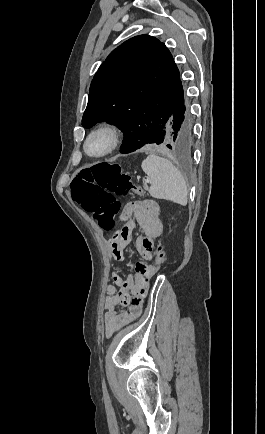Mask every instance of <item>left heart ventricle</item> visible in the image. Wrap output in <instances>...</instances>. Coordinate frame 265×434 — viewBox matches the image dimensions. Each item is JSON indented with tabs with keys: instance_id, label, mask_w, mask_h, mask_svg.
Returning a JSON list of instances; mask_svg holds the SVG:
<instances>
[{
	"instance_id": "1",
	"label": "left heart ventricle",
	"mask_w": 265,
	"mask_h": 434,
	"mask_svg": "<svg viewBox=\"0 0 265 434\" xmlns=\"http://www.w3.org/2000/svg\"><path fill=\"white\" fill-rule=\"evenodd\" d=\"M105 147V140L102 138H96L92 140L88 146V150L91 153H97Z\"/></svg>"
}]
</instances>
